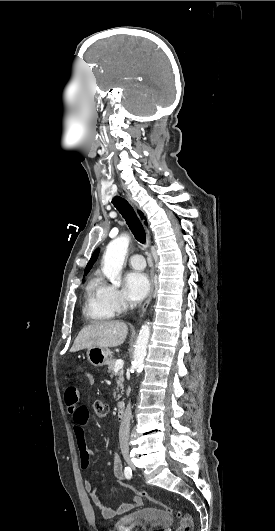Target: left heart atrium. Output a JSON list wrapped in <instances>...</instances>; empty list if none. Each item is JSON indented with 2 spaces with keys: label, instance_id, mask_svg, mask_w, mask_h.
Returning <instances> with one entry per match:
<instances>
[{
  "label": "left heart atrium",
  "instance_id": "left-heart-atrium-1",
  "mask_svg": "<svg viewBox=\"0 0 275 531\" xmlns=\"http://www.w3.org/2000/svg\"><path fill=\"white\" fill-rule=\"evenodd\" d=\"M149 278L142 271H130L124 278V290L131 301H139L144 298L149 290Z\"/></svg>",
  "mask_w": 275,
  "mask_h": 531
}]
</instances>
